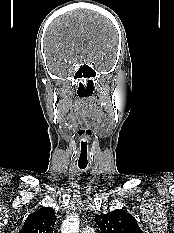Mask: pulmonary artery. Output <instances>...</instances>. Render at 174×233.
Returning <instances> with one entry per match:
<instances>
[{
  "instance_id": "1",
  "label": "pulmonary artery",
  "mask_w": 174,
  "mask_h": 233,
  "mask_svg": "<svg viewBox=\"0 0 174 233\" xmlns=\"http://www.w3.org/2000/svg\"><path fill=\"white\" fill-rule=\"evenodd\" d=\"M82 233H95V231L91 227H86V228H84Z\"/></svg>"
}]
</instances>
